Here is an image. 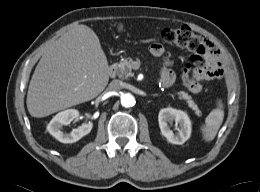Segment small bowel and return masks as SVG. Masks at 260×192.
I'll return each mask as SVG.
<instances>
[{"mask_svg": "<svg viewBox=\"0 0 260 192\" xmlns=\"http://www.w3.org/2000/svg\"><path fill=\"white\" fill-rule=\"evenodd\" d=\"M150 53L155 57H161L164 54V47L160 43H153L150 48ZM223 75V69L220 63V57L218 53L212 49L210 53L206 55L205 63L202 67L194 72L196 79V89L190 90L193 93H199L202 90L201 81H209L219 79ZM176 75L171 69V62L164 60L160 70V82L163 87L171 86L175 81Z\"/></svg>", "mask_w": 260, "mask_h": 192, "instance_id": "obj_1", "label": "small bowel"}]
</instances>
